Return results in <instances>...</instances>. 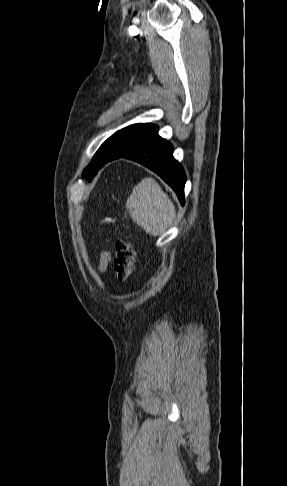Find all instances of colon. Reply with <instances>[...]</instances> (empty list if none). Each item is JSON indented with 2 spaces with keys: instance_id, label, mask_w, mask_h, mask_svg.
<instances>
[{
  "instance_id": "1",
  "label": "colon",
  "mask_w": 287,
  "mask_h": 486,
  "mask_svg": "<svg viewBox=\"0 0 287 486\" xmlns=\"http://www.w3.org/2000/svg\"><path fill=\"white\" fill-rule=\"evenodd\" d=\"M135 251L130 241L118 239L114 245V273L119 281H126L133 273Z\"/></svg>"
}]
</instances>
